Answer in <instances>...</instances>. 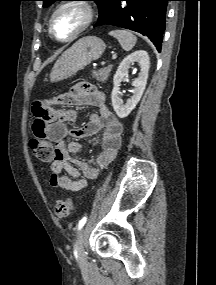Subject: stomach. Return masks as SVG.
Masks as SVG:
<instances>
[{
  "instance_id": "stomach-1",
  "label": "stomach",
  "mask_w": 216,
  "mask_h": 285,
  "mask_svg": "<svg viewBox=\"0 0 216 285\" xmlns=\"http://www.w3.org/2000/svg\"><path fill=\"white\" fill-rule=\"evenodd\" d=\"M105 48V43L96 36L79 39L57 60L50 73V81L59 82L72 77L100 58Z\"/></svg>"
}]
</instances>
